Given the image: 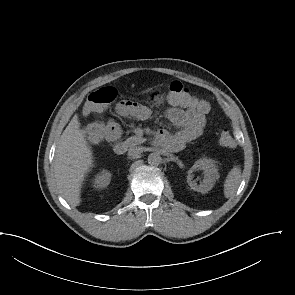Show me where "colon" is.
Returning a JSON list of instances; mask_svg holds the SVG:
<instances>
[{"label":"colon","instance_id":"colon-1","mask_svg":"<svg viewBox=\"0 0 295 295\" xmlns=\"http://www.w3.org/2000/svg\"><path fill=\"white\" fill-rule=\"evenodd\" d=\"M117 91L112 87H105L92 92L85 104V114H97L104 112L107 107L115 101ZM169 99L176 100L184 106L196 108L199 112L206 113L210 107L207 101L198 98L190 93V91L179 81H173L169 85ZM87 138L92 144H99L106 138V127L103 122H95L87 129ZM218 142L222 147L233 149L236 141L228 129L220 131Z\"/></svg>","mask_w":295,"mask_h":295}]
</instances>
